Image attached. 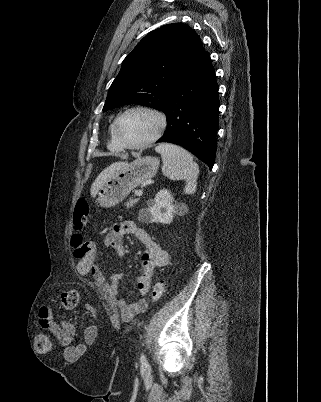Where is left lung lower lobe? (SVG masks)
I'll return each mask as SVG.
<instances>
[{"label":"left lung lower lobe","instance_id":"left-lung-lower-lobe-1","mask_svg":"<svg viewBox=\"0 0 321 402\" xmlns=\"http://www.w3.org/2000/svg\"><path fill=\"white\" fill-rule=\"evenodd\" d=\"M218 84L208 52L171 91L163 111L167 130L157 142L180 145L204 161L210 170L216 154Z\"/></svg>","mask_w":321,"mask_h":402}]
</instances>
